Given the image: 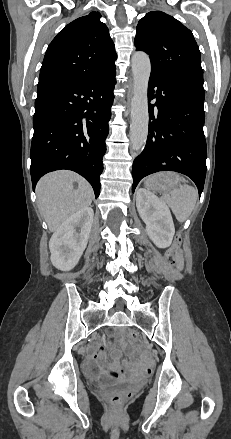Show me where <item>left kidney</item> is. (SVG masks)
Returning a JSON list of instances; mask_svg holds the SVG:
<instances>
[{
  "label": "left kidney",
  "mask_w": 231,
  "mask_h": 439,
  "mask_svg": "<svg viewBox=\"0 0 231 439\" xmlns=\"http://www.w3.org/2000/svg\"><path fill=\"white\" fill-rule=\"evenodd\" d=\"M136 206L141 219L146 224V232L158 248L171 245L175 228L167 205L145 188L136 194Z\"/></svg>",
  "instance_id": "left-kidney-1"
}]
</instances>
